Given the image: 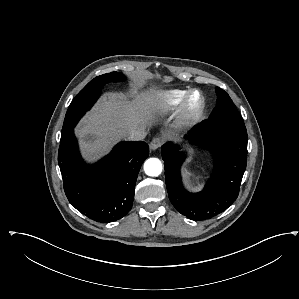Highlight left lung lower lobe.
<instances>
[{"label":"left lung lower lobe","instance_id":"0a47b994","mask_svg":"<svg viewBox=\"0 0 299 299\" xmlns=\"http://www.w3.org/2000/svg\"><path fill=\"white\" fill-rule=\"evenodd\" d=\"M203 144L214 154L213 174L199 193L184 190L180 167L185 154L168 142L162 146L169 199L182 215L200 221L225 211L238 197L247 163V131L243 121L209 118L195 125L185 139Z\"/></svg>","mask_w":299,"mask_h":299}]
</instances>
